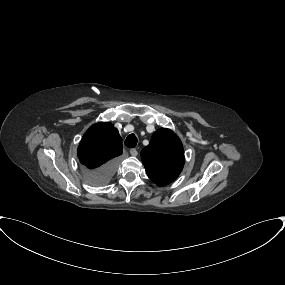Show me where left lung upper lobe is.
Returning <instances> with one entry per match:
<instances>
[{
  "label": "left lung upper lobe",
  "mask_w": 285,
  "mask_h": 285,
  "mask_svg": "<svg viewBox=\"0 0 285 285\" xmlns=\"http://www.w3.org/2000/svg\"><path fill=\"white\" fill-rule=\"evenodd\" d=\"M141 158L148 177L158 186H165L183 169V146L176 134L161 128L153 133L149 145L141 151Z\"/></svg>",
  "instance_id": "left-lung-upper-lobe-1"
}]
</instances>
